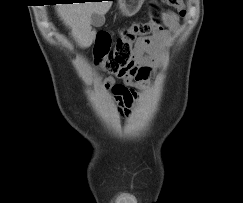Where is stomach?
I'll list each match as a JSON object with an SVG mask.
<instances>
[{"instance_id": "stomach-1", "label": "stomach", "mask_w": 243, "mask_h": 203, "mask_svg": "<svg viewBox=\"0 0 243 203\" xmlns=\"http://www.w3.org/2000/svg\"><path fill=\"white\" fill-rule=\"evenodd\" d=\"M143 2L144 0H118L119 9L126 16L136 14L140 10Z\"/></svg>"}]
</instances>
